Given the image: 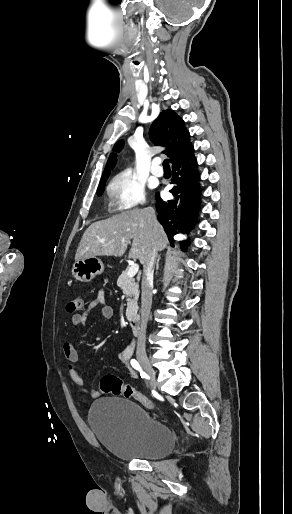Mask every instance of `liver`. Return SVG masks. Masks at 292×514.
<instances>
[{"instance_id": "6515ba94", "label": "liver", "mask_w": 292, "mask_h": 514, "mask_svg": "<svg viewBox=\"0 0 292 514\" xmlns=\"http://www.w3.org/2000/svg\"><path fill=\"white\" fill-rule=\"evenodd\" d=\"M147 210H128L116 214L108 220L94 222L87 228L75 260L92 258V256H123L127 250L128 240H133L128 258L146 264L148 254L153 248L161 252L167 248L168 238L159 222L150 216Z\"/></svg>"}]
</instances>
